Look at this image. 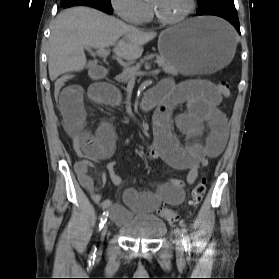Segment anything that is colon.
Segmentation results:
<instances>
[{"label": "colon", "instance_id": "obj_1", "mask_svg": "<svg viewBox=\"0 0 279 279\" xmlns=\"http://www.w3.org/2000/svg\"><path fill=\"white\" fill-rule=\"evenodd\" d=\"M69 78L67 76H61L59 77L54 84V95L55 98H59L63 89L66 87L68 83ZM219 92L223 94L224 96L230 95V87L228 83L222 82L219 83L217 86ZM206 191V180L205 178H200L199 181L194 185L192 191H191V204L193 206H197L203 199L204 194ZM159 215L167 220L170 223L177 222L179 219V216L177 213L171 209L168 208H162L159 210Z\"/></svg>", "mask_w": 279, "mask_h": 279}]
</instances>
